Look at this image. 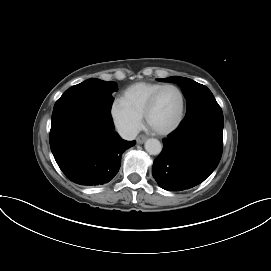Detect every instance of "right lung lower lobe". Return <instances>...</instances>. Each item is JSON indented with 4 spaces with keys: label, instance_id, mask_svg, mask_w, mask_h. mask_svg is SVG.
Masks as SVG:
<instances>
[{
    "label": "right lung lower lobe",
    "instance_id": "1",
    "mask_svg": "<svg viewBox=\"0 0 271 271\" xmlns=\"http://www.w3.org/2000/svg\"><path fill=\"white\" fill-rule=\"evenodd\" d=\"M102 103L67 107L52 114L50 147L62 172L81 185H102L119 171L122 153L135 141L114 132Z\"/></svg>",
    "mask_w": 271,
    "mask_h": 271
}]
</instances>
